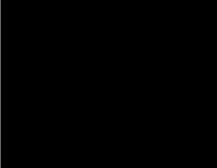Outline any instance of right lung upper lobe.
I'll list each match as a JSON object with an SVG mask.
<instances>
[{
	"mask_svg": "<svg viewBox=\"0 0 217 168\" xmlns=\"http://www.w3.org/2000/svg\"><path fill=\"white\" fill-rule=\"evenodd\" d=\"M88 20H63L35 40L23 70V95L29 109L37 110L49 101L72 92L67 84L63 92L56 90L61 61L66 53L78 55L93 30ZM70 83V82H69Z\"/></svg>",
	"mask_w": 217,
	"mask_h": 168,
	"instance_id": "1",
	"label": "right lung upper lobe"
}]
</instances>
